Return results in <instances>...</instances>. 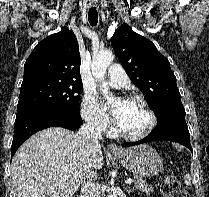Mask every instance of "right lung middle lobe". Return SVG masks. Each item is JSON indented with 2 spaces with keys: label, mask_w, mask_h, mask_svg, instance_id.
I'll list each match as a JSON object with an SVG mask.
<instances>
[{
  "label": "right lung middle lobe",
  "mask_w": 209,
  "mask_h": 197,
  "mask_svg": "<svg viewBox=\"0 0 209 197\" xmlns=\"http://www.w3.org/2000/svg\"><path fill=\"white\" fill-rule=\"evenodd\" d=\"M82 82L35 80L21 85L16 118L44 110L79 112Z\"/></svg>",
  "instance_id": "right-lung-middle-lobe-1"
}]
</instances>
